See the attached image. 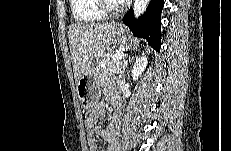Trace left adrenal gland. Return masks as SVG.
Masks as SVG:
<instances>
[{
  "label": "left adrenal gland",
  "mask_w": 231,
  "mask_h": 151,
  "mask_svg": "<svg viewBox=\"0 0 231 151\" xmlns=\"http://www.w3.org/2000/svg\"><path fill=\"white\" fill-rule=\"evenodd\" d=\"M126 64H127V62H125L124 66H123V70L121 71V75H123V76H124V74H125Z\"/></svg>",
  "instance_id": "obj_1"
}]
</instances>
